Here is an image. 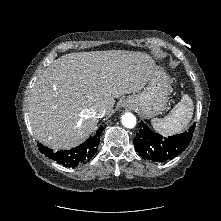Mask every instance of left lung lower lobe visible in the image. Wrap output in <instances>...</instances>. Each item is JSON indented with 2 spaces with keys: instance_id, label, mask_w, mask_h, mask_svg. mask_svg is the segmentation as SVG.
<instances>
[{
  "instance_id": "obj_1",
  "label": "left lung lower lobe",
  "mask_w": 221,
  "mask_h": 221,
  "mask_svg": "<svg viewBox=\"0 0 221 221\" xmlns=\"http://www.w3.org/2000/svg\"><path fill=\"white\" fill-rule=\"evenodd\" d=\"M140 127L134 139L135 149L144 159L163 162L173 159L187 148L192 139L195 124L187 132L168 138L154 133L143 122H140Z\"/></svg>"
}]
</instances>
